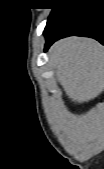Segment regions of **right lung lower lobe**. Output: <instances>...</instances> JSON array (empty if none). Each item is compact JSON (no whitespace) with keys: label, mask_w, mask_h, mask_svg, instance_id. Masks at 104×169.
Returning a JSON list of instances; mask_svg holds the SVG:
<instances>
[{"label":"right lung lower lobe","mask_w":104,"mask_h":169,"mask_svg":"<svg viewBox=\"0 0 104 169\" xmlns=\"http://www.w3.org/2000/svg\"><path fill=\"white\" fill-rule=\"evenodd\" d=\"M45 51L56 40L77 35L98 40L104 44V5L102 0H74L47 23Z\"/></svg>","instance_id":"right-lung-lower-lobe-1"}]
</instances>
